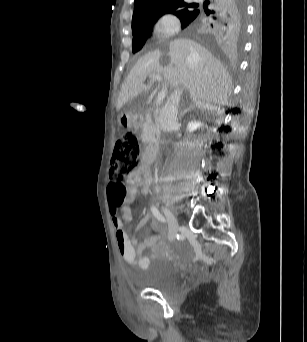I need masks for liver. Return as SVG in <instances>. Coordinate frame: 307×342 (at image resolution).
Here are the masks:
<instances>
[{
    "label": "liver",
    "mask_w": 307,
    "mask_h": 342,
    "mask_svg": "<svg viewBox=\"0 0 307 342\" xmlns=\"http://www.w3.org/2000/svg\"><path fill=\"white\" fill-rule=\"evenodd\" d=\"M149 74H162L173 88H185L198 108L213 110L214 104L227 106L232 92L231 78L220 60L193 40L158 44L157 50L139 58L125 78L116 110L141 92H148L156 80L144 84Z\"/></svg>",
    "instance_id": "liver-1"
}]
</instances>
